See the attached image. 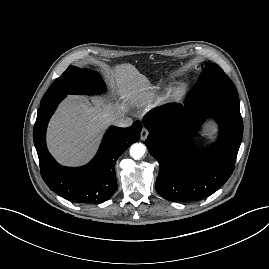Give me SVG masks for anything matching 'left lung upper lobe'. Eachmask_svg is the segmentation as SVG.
<instances>
[{
  "label": "left lung upper lobe",
  "instance_id": "left-lung-upper-lobe-1",
  "mask_svg": "<svg viewBox=\"0 0 269 269\" xmlns=\"http://www.w3.org/2000/svg\"><path fill=\"white\" fill-rule=\"evenodd\" d=\"M226 101L239 104L237 91L223 70L214 63H206L198 83L187 97L192 105Z\"/></svg>",
  "mask_w": 269,
  "mask_h": 269
}]
</instances>
